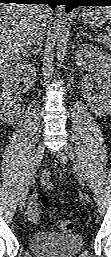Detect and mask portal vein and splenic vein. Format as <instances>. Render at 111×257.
Segmentation results:
<instances>
[{"instance_id":"portal-vein-and-splenic-vein-1","label":"portal vein and splenic vein","mask_w":111,"mask_h":257,"mask_svg":"<svg viewBox=\"0 0 111 257\" xmlns=\"http://www.w3.org/2000/svg\"><path fill=\"white\" fill-rule=\"evenodd\" d=\"M109 36H111V31H109Z\"/></svg>"}]
</instances>
